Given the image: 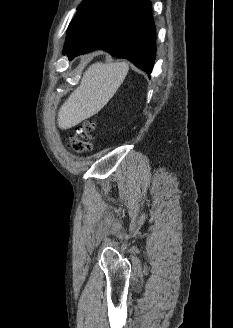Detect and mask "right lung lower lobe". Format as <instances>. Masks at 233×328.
<instances>
[{
	"mask_svg": "<svg viewBox=\"0 0 233 328\" xmlns=\"http://www.w3.org/2000/svg\"><path fill=\"white\" fill-rule=\"evenodd\" d=\"M105 50L151 73L156 56L155 24L149 0H92L68 29L69 59Z\"/></svg>",
	"mask_w": 233,
	"mask_h": 328,
	"instance_id": "1",
	"label": "right lung lower lobe"
}]
</instances>
